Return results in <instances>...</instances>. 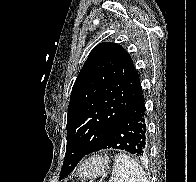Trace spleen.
Returning a JSON list of instances; mask_svg holds the SVG:
<instances>
[{"mask_svg":"<svg viewBox=\"0 0 196 182\" xmlns=\"http://www.w3.org/2000/svg\"><path fill=\"white\" fill-rule=\"evenodd\" d=\"M109 182H148L143 169L128 155H115L112 176Z\"/></svg>","mask_w":196,"mask_h":182,"instance_id":"spleen-1","label":"spleen"}]
</instances>
